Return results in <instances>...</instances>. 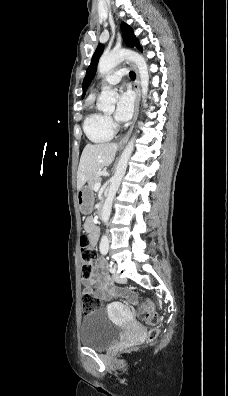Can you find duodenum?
Masks as SVG:
<instances>
[{
	"mask_svg": "<svg viewBox=\"0 0 228 396\" xmlns=\"http://www.w3.org/2000/svg\"><path fill=\"white\" fill-rule=\"evenodd\" d=\"M104 213V204H101L98 210L99 217L102 218Z\"/></svg>",
	"mask_w": 228,
	"mask_h": 396,
	"instance_id": "duodenum-1",
	"label": "duodenum"
}]
</instances>
